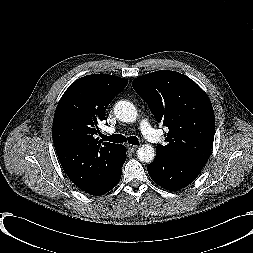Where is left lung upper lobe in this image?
<instances>
[{
  "instance_id": "obj_1",
  "label": "left lung upper lobe",
  "mask_w": 253,
  "mask_h": 253,
  "mask_svg": "<svg viewBox=\"0 0 253 253\" xmlns=\"http://www.w3.org/2000/svg\"><path fill=\"white\" fill-rule=\"evenodd\" d=\"M132 86L155 119L169 129L167 145H157L156 156L206 163L215 133L207 94L187 76L168 70L138 77Z\"/></svg>"
}]
</instances>
